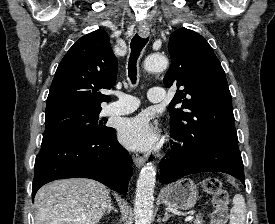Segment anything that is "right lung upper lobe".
<instances>
[{
  "label": "right lung upper lobe",
  "mask_w": 275,
  "mask_h": 224,
  "mask_svg": "<svg viewBox=\"0 0 275 224\" xmlns=\"http://www.w3.org/2000/svg\"><path fill=\"white\" fill-rule=\"evenodd\" d=\"M117 76V59L106 31L98 29L81 37L66 53L56 70L46 113L64 107L101 108Z\"/></svg>",
  "instance_id": "cb5924a9"
}]
</instances>
